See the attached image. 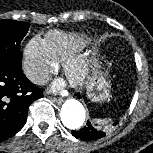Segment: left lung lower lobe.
Instances as JSON below:
<instances>
[{"label": "left lung lower lobe", "mask_w": 153, "mask_h": 153, "mask_svg": "<svg viewBox=\"0 0 153 153\" xmlns=\"http://www.w3.org/2000/svg\"><path fill=\"white\" fill-rule=\"evenodd\" d=\"M76 96L80 98L79 93H77ZM71 133L74 137L81 139L83 141H92L105 136L104 132L94 128V126L89 121H87V125L84 128L78 131H72Z\"/></svg>", "instance_id": "left-lung-lower-lobe-1"}]
</instances>
